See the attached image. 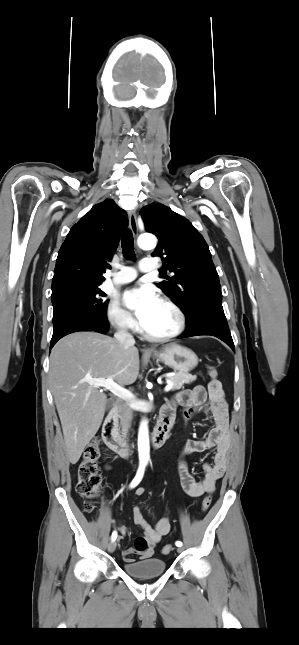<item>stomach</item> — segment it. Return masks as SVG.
<instances>
[{"mask_svg":"<svg viewBox=\"0 0 299 645\" xmlns=\"http://www.w3.org/2000/svg\"><path fill=\"white\" fill-rule=\"evenodd\" d=\"M157 359L179 373L187 374L198 364L197 355L189 348L174 345L154 354Z\"/></svg>","mask_w":299,"mask_h":645,"instance_id":"1","label":"stomach"}]
</instances>
